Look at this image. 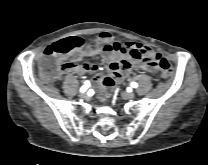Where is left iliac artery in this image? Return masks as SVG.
Returning a JSON list of instances; mask_svg holds the SVG:
<instances>
[{"label": "left iliac artery", "instance_id": "44dca946", "mask_svg": "<svg viewBox=\"0 0 208 165\" xmlns=\"http://www.w3.org/2000/svg\"><path fill=\"white\" fill-rule=\"evenodd\" d=\"M131 86H132L133 88H136V87L138 86V84H137L136 82H132V83H131Z\"/></svg>", "mask_w": 208, "mask_h": 165}]
</instances>
